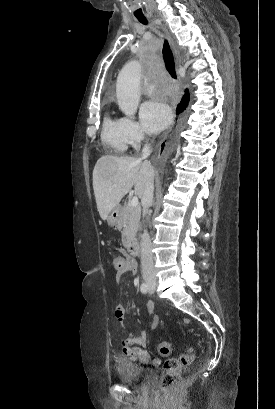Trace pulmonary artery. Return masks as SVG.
Returning a JSON list of instances; mask_svg holds the SVG:
<instances>
[{
  "instance_id": "pulmonary-artery-1",
  "label": "pulmonary artery",
  "mask_w": 275,
  "mask_h": 409,
  "mask_svg": "<svg viewBox=\"0 0 275 409\" xmlns=\"http://www.w3.org/2000/svg\"><path fill=\"white\" fill-rule=\"evenodd\" d=\"M148 90H149L148 95H149V96H152L153 93H154L155 87H154V86H149V87H148Z\"/></svg>"
}]
</instances>
